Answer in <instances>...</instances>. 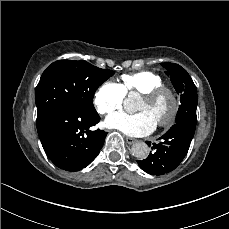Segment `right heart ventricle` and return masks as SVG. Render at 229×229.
I'll use <instances>...</instances> for the list:
<instances>
[{
    "label": "right heart ventricle",
    "mask_w": 229,
    "mask_h": 229,
    "mask_svg": "<svg viewBox=\"0 0 229 229\" xmlns=\"http://www.w3.org/2000/svg\"><path fill=\"white\" fill-rule=\"evenodd\" d=\"M120 85L125 95L144 94L146 91L164 85L163 78L152 71L125 74Z\"/></svg>",
    "instance_id": "1"
}]
</instances>
